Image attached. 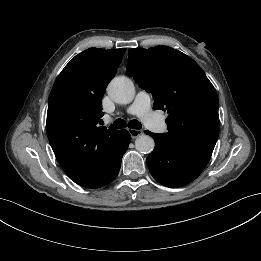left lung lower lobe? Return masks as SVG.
<instances>
[{"instance_id":"0a47b994","label":"left lung lower lobe","mask_w":261,"mask_h":261,"mask_svg":"<svg viewBox=\"0 0 261 261\" xmlns=\"http://www.w3.org/2000/svg\"><path fill=\"white\" fill-rule=\"evenodd\" d=\"M155 140V148L147 158L151 175L161 184L176 188L196 179L206 167L213 150L180 146L163 134L145 132Z\"/></svg>"}]
</instances>
